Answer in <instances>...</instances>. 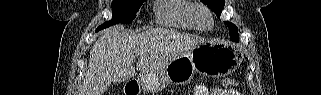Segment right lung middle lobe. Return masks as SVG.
Segmentation results:
<instances>
[{
	"mask_svg": "<svg viewBox=\"0 0 321 95\" xmlns=\"http://www.w3.org/2000/svg\"><path fill=\"white\" fill-rule=\"evenodd\" d=\"M143 1L144 0H113L112 19L100 25L96 31L107 28L115 23H131L135 19L136 12L142 6Z\"/></svg>",
	"mask_w": 321,
	"mask_h": 95,
	"instance_id": "obj_1",
	"label": "right lung middle lobe"
}]
</instances>
